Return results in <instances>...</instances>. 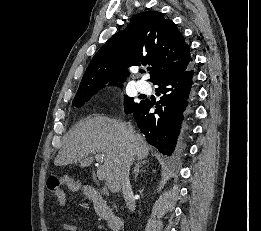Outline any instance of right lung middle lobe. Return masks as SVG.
<instances>
[{"label":"right lung middle lobe","instance_id":"right-lung-middle-lobe-1","mask_svg":"<svg viewBox=\"0 0 261 231\" xmlns=\"http://www.w3.org/2000/svg\"><path fill=\"white\" fill-rule=\"evenodd\" d=\"M97 91L94 92H89V93H85V94H79L76 95L72 104L76 107H81L86 101H88L90 99V97L92 95H94ZM139 105V103L135 102L133 100V98L130 97H125V101H124V109L126 113H129L130 111H132L133 109H135L137 106Z\"/></svg>","mask_w":261,"mask_h":231}]
</instances>
